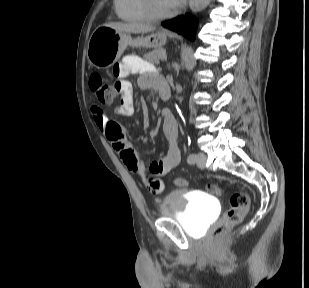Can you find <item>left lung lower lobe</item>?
Listing matches in <instances>:
<instances>
[{"instance_id":"0a47b994","label":"left lung lower lobe","mask_w":309,"mask_h":288,"mask_svg":"<svg viewBox=\"0 0 309 288\" xmlns=\"http://www.w3.org/2000/svg\"><path fill=\"white\" fill-rule=\"evenodd\" d=\"M162 26L174 30L179 34H183L191 40L195 39L196 22L195 19L189 14L165 21L162 23Z\"/></svg>"}]
</instances>
